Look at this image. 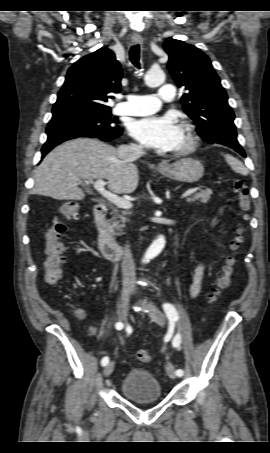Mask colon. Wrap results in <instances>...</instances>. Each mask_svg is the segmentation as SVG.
<instances>
[{
	"label": "colon",
	"instance_id": "1",
	"mask_svg": "<svg viewBox=\"0 0 270 453\" xmlns=\"http://www.w3.org/2000/svg\"><path fill=\"white\" fill-rule=\"evenodd\" d=\"M233 190L238 199V207L243 220H247L248 212L250 210L251 201L249 189L246 183L240 179L233 182ZM80 206L77 202L67 201L59 207V215L53 221L52 226L46 234V260L45 267V280L49 284H56L62 279V266L65 262V247L62 242L64 234L67 230V222L74 221L79 218ZM244 237V227L240 226L235 236L230 242V250L232 254L226 259L223 266L222 273L220 274L217 285L210 294V300L216 301L221 294L229 288L232 283V278L236 266L235 253L239 250ZM137 359L141 363H151L152 355L144 349L137 351Z\"/></svg>",
	"mask_w": 270,
	"mask_h": 453
}]
</instances>
